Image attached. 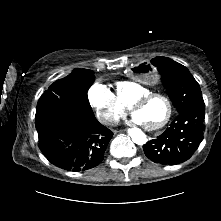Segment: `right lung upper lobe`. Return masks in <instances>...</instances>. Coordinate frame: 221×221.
I'll return each mask as SVG.
<instances>
[{"instance_id": "obj_1", "label": "right lung upper lobe", "mask_w": 221, "mask_h": 221, "mask_svg": "<svg viewBox=\"0 0 221 221\" xmlns=\"http://www.w3.org/2000/svg\"><path fill=\"white\" fill-rule=\"evenodd\" d=\"M80 70H83V69H79V68H76L72 71L71 75L75 74L76 72L80 71Z\"/></svg>"}]
</instances>
